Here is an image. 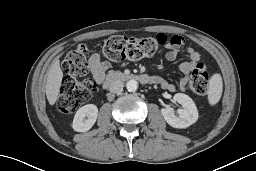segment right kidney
Instances as JSON below:
<instances>
[{"label": "right kidney", "mask_w": 256, "mask_h": 171, "mask_svg": "<svg viewBox=\"0 0 256 171\" xmlns=\"http://www.w3.org/2000/svg\"><path fill=\"white\" fill-rule=\"evenodd\" d=\"M97 116L98 108L96 105H84L76 112L72 128L77 132H86L95 124Z\"/></svg>", "instance_id": "obj_1"}]
</instances>
